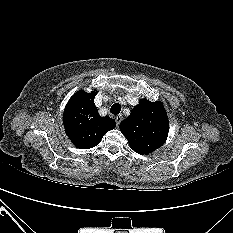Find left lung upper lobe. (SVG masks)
<instances>
[{
    "instance_id": "obj_1",
    "label": "left lung upper lobe",
    "mask_w": 233,
    "mask_h": 233,
    "mask_svg": "<svg viewBox=\"0 0 233 233\" xmlns=\"http://www.w3.org/2000/svg\"><path fill=\"white\" fill-rule=\"evenodd\" d=\"M120 130L130 147L139 154H149L167 139L169 121L162 102L141 99L130 116L120 123Z\"/></svg>"
}]
</instances>
